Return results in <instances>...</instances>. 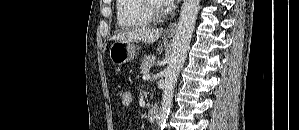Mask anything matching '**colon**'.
<instances>
[{"instance_id":"obj_1","label":"colon","mask_w":299,"mask_h":130,"mask_svg":"<svg viewBox=\"0 0 299 130\" xmlns=\"http://www.w3.org/2000/svg\"><path fill=\"white\" fill-rule=\"evenodd\" d=\"M120 100L122 105L129 106L133 101V93L130 89H125L120 94Z\"/></svg>"}]
</instances>
